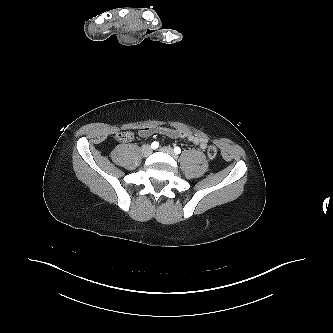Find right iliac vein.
Here are the masks:
<instances>
[{"label":"right iliac vein","mask_w":333,"mask_h":333,"mask_svg":"<svg viewBox=\"0 0 333 333\" xmlns=\"http://www.w3.org/2000/svg\"><path fill=\"white\" fill-rule=\"evenodd\" d=\"M152 153V148L149 145H144L142 147V155L144 157L149 156Z\"/></svg>","instance_id":"right-iliac-vein-1"}]
</instances>
